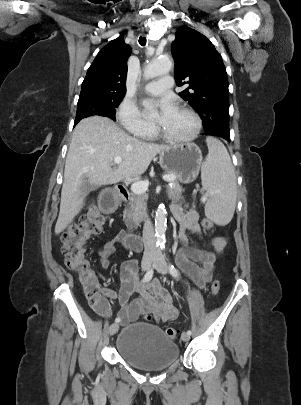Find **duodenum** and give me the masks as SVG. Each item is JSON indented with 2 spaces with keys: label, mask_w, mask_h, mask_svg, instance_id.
<instances>
[{
  "label": "duodenum",
  "mask_w": 301,
  "mask_h": 405,
  "mask_svg": "<svg viewBox=\"0 0 301 405\" xmlns=\"http://www.w3.org/2000/svg\"><path fill=\"white\" fill-rule=\"evenodd\" d=\"M129 196L126 187L119 186L118 190H104L103 194L98 195L97 207L100 213H117L124 200ZM123 243L127 249L138 252L143 248L141 236L131 231L125 232Z\"/></svg>",
  "instance_id": "410a0bca"
}]
</instances>
